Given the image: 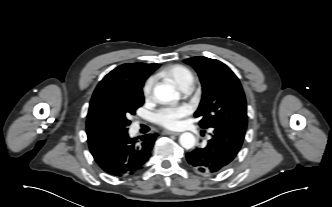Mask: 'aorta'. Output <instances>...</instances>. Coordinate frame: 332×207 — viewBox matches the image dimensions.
<instances>
[{"label": "aorta", "mask_w": 332, "mask_h": 207, "mask_svg": "<svg viewBox=\"0 0 332 207\" xmlns=\"http://www.w3.org/2000/svg\"><path fill=\"white\" fill-rule=\"evenodd\" d=\"M154 95L160 102L163 103L177 101L180 98L179 92H177L175 88L169 84H160L155 86ZM195 142V136L189 132L182 133L179 137V143L185 149L193 148Z\"/></svg>", "instance_id": "obj_1"}]
</instances>
